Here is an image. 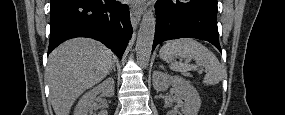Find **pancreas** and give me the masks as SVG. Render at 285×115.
I'll use <instances>...</instances> for the list:
<instances>
[{"label": "pancreas", "instance_id": "cf45deb5", "mask_svg": "<svg viewBox=\"0 0 285 115\" xmlns=\"http://www.w3.org/2000/svg\"><path fill=\"white\" fill-rule=\"evenodd\" d=\"M184 76H190L191 77V74L190 73H184Z\"/></svg>", "mask_w": 285, "mask_h": 115}]
</instances>
